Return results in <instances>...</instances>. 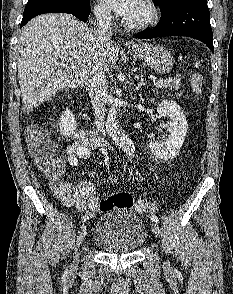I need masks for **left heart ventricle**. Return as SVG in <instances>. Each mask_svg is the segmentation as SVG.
Instances as JSON below:
<instances>
[{
    "label": "left heart ventricle",
    "instance_id": "1",
    "mask_svg": "<svg viewBox=\"0 0 233 294\" xmlns=\"http://www.w3.org/2000/svg\"><path fill=\"white\" fill-rule=\"evenodd\" d=\"M147 15V10L144 4L140 7L138 12L129 20L132 22H137L143 20Z\"/></svg>",
    "mask_w": 233,
    "mask_h": 294
}]
</instances>
